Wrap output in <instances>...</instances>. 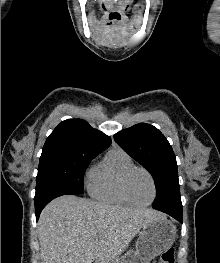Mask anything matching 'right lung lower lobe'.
<instances>
[{
	"mask_svg": "<svg viewBox=\"0 0 220 263\" xmlns=\"http://www.w3.org/2000/svg\"><path fill=\"white\" fill-rule=\"evenodd\" d=\"M66 194H72L67 191H51L44 195H41L38 198H35V214H36V221H38L39 215L42 211V209L54 198L66 195Z\"/></svg>",
	"mask_w": 220,
	"mask_h": 263,
	"instance_id": "obj_1",
	"label": "right lung lower lobe"
}]
</instances>
